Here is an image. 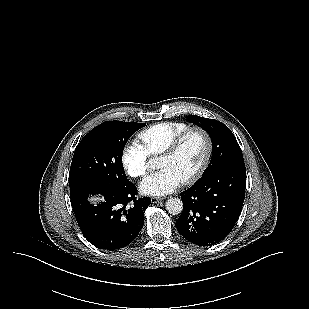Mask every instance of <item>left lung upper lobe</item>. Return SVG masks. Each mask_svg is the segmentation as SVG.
Returning a JSON list of instances; mask_svg holds the SVG:
<instances>
[{"label": "left lung upper lobe", "instance_id": "obj_1", "mask_svg": "<svg viewBox=\"0 0 309 309\" xmlns=\"http://www.w3.org/2000/svg\"><path fill=\"white\" fill-rule=\"evenodd\" d=\"M187 121L203 128L212 141V159L202 176L235 162L244 161L242 151L231 130L220 121L188 115Z\"/></svg>", "mask_w": 309, "mask_h": 309}]
</instances>
